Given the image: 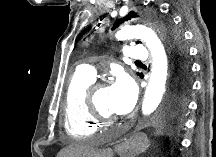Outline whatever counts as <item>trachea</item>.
I'll list each match as a JSON object with an SVG mask.
<instances>
[{
  "mask_svg": "<svg viewBox=\"0 0 216 157\" xmlns=\"http://www.w3.org/2000/svg\"><path fill=\"white\" fill-rule=\"evenodd\" d=\"M136 63H141L140 61H137Z\"/></svg>",
  "mask_w": 216,
  "mask_h": 157,
  "instance_id": "1",
  "label": "trachea"
}]
</instances>
